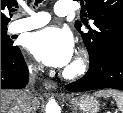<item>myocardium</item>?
Segmentation results:
<instances>
[{"mask_svg":"<svg viewBox=\"0 0 123 113\" xmlns=\"http://www.w3.org/2000/svg\"><path fill=\"white\" fill-rule=\"evenodd\" d=\"M88 67L87 58L85 55H79L75 61L64 71V76L67 78H76L83 75Z\"/></svg>","mask_w":123,"mask_h":113,"instance_id":"f54148a6","label":"myocardium"}]
</instances>
